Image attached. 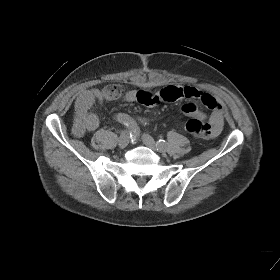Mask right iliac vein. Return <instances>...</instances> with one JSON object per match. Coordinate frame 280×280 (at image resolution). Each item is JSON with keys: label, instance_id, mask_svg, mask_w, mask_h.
Segmentation results:
<instances>
[{"label": "right iliac vein", "instance_id": "right-iliac-vein-1", "mask_svg": "<svg viewBox=\"0 0 280 280\" xmlns=\"http://www.w3.org/2000/svg\"><path fill=\"white\" fill-rule=\"evenodd\" d=\"M129 134L127 131H123L118 139V145L120 148H125L129 144Z\"/></svg>", "mask_w": 280, "mask_h": 280}]
</instances>
